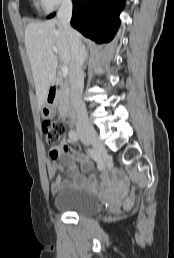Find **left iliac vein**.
<instances>
[{
    "instance_id": "1",
    "label": "left iliac vein",
    "mask_w": 174,
    "mask_h": 258,
    "mask_svg": "<svg viewBox=\"0 0 174 258\" xmlns=\"http://www.w3.org/2000/svg\"><path fill=\"white\" fill-rule=\"evenodd\" d=\"M82 140H83V142H84V144H89V142L88 141H86L84 138H82Z\"/></svg>"
}]
</instances>
